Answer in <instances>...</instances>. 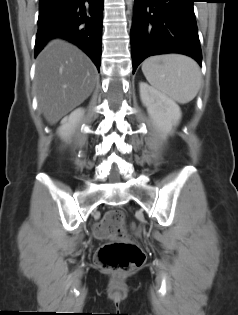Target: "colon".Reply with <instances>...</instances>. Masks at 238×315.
<instances>
[{
	"label": "colon",
	"instance_id": "1",
	"mask_svg": "<svg viewBox=\"0 0 238 315\" xmlns=\"http://www.w3.org/2000/svg\"><path fill=\"white\" fill-rule=\"evenodd\" d=\"M124 214L110 211L95 226L94 233L99 239L111 242L102 245L96 252L95 262L103 270L124 273L140 267L145 261V253L124 232Z\"/></svg>",
	"mask_w": 238,
	"mask_h": 315
}]
</instances>
